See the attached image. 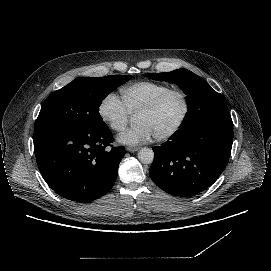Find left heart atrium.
<instances>
[{"instance_id":"obj_1","label":"left heart atrium","mask_w":271,"mask_h":271,"mask_svg":"<svg viewBox=\"0 0 271 271\" xmlns=\"http://www.w3.org/2000/svg\"><path fill=\"white\" fill-rule=\"evenodd\" d=\"M154 134L148 125L139 123L117 137L120 144L137 146L152 141Z\"/></svg>"}]
</instances>
